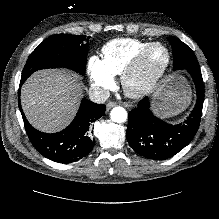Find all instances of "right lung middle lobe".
I'll return each instance as SVG.
<instances>
[{
  "instance_id": "1",
  "label": "right lung middle lobe",
  "mask_w": 219,
  "mask_h": 219,
  "mask_svg": "<svg viewBox=\"0 0 219 219\" xmlns=\"http://www.w3.org/2000/svg\"><path fill=\"white\" fill-rule=\"evenodd\" d=\"M88 39L85 35L50 36L29 56L21 80L24 82L33 72L45 68L65 67L83 74L86 68Z\"/></svg>"
}]
</instances>
